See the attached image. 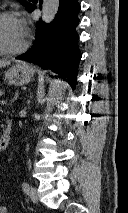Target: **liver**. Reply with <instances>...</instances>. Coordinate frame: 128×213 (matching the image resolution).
Here are the masks:
<instances>
[{"instance_id": "liver-1", "label": "liver", "mask_w": 128, "mask_h": 213, "mask_svg": "<svg viewBox=\"0 0 128 213\" xmlns=\"http://www.w3.org/2000/svg\"><path fill=\"white\" fill-rule=\"evenodd\" d=\"M10 64V61L7 60H0V68L1 67H6Z\"/></svg>"}]
</instances>
